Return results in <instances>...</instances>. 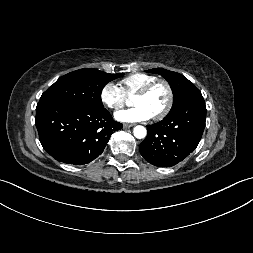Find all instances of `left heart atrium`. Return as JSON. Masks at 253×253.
<instances>
[{"label":"left heart atrium","instance_id":"39dd6f15","mask_svg":"<svg viewBox=\"0 0 253 253\" xmlns=\"http://www.w3.org/2000/svg\"><path fill=\"white\" fill-rule=\"evenodd\" d=\"M117 120L121 122H140L151 119V112L143 105H135L128 109H123L115 114Z\"/></svg>","mask_w":253,"mask_h":253}]
</instances>
